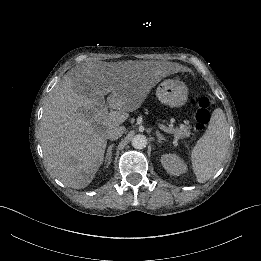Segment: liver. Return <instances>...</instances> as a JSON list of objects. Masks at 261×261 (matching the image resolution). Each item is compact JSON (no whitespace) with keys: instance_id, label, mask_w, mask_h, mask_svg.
<instances>
[{"instance_id":"obj_1","label":"liver","mask_w":261,"mask_h":261,"mask_svg":"<svg viewBox=\"0 0 261 261\" xmlns=\"http://www.w3.org/2000/svg\"><path fill=\"white\" fill-rule=\"evenodd\" d=\"M167 70L151 64H87L70 69L43 107L45 166L64 185L86 188L104 162L107 132L129 119ZM108 97L109 111L104 97Z\"/></svg>"}]
</instances>
